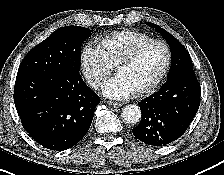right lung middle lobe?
I'll list each match as a JSON object with an SVG mask.
<instances>
[{"instance_id": "dd1d6c3e", "label": "right lung middle lobe", "mask_w": 224, "mask_h": 175, "mask_svg": "<svg viewBox=\"0 0 224 175\" xmlns=\"http://www.w3.org/2000/svg\"><path fill=\"white\" fill-rule=\"evenodd\" d=\"M91 32L92 30L80 26L57 29L28 52L20 64L18 73L78 74L81 45Z\"/></svg>"}]
</instances>
